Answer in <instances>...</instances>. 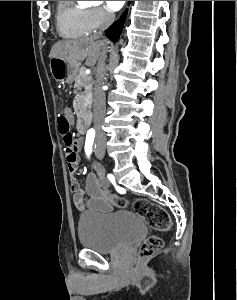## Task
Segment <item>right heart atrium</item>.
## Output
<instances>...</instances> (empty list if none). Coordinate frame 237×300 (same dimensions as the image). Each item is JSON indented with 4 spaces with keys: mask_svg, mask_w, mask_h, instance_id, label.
Wrapping results in <instances>:
<instances>
[{
    "mask_svg": "<svg viewBox=\"0 0 237 300\" xmlns=\"http://www.w3.org/2000/svg\"><path fill=\"white\" fill-rule=\"evenodd\" d=\"M112 16L101 7H91L85 10L84 29L86 33H91L98 28L108 25Z\"/></svg>",
    "mask_w": 237,
    "mask_h": 300,
    "instance_id": "d8ad5b80",
    "label": "right heart atrium"
}]
</instances>
